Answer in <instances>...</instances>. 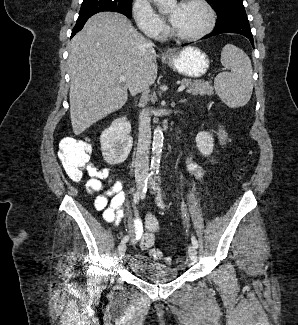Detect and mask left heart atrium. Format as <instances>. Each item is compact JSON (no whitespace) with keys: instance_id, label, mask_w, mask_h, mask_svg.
I'll return each instance as SVG.
<instances>
[{"instance_id":"1","label":"left heart atrium","mask_w":298,"mask_h":325,"mask_svg":"<svg viewBox=\"0 0 298 325\" xmlns=\"http://www.w3.org/2000/svg\"><path fill=\"white\" fill-rule=\"evenodd\" d=\"M168 17H169V19L171 20V18H172V14H171L170 12H168Z\"/></svg>"}]
</instances>
